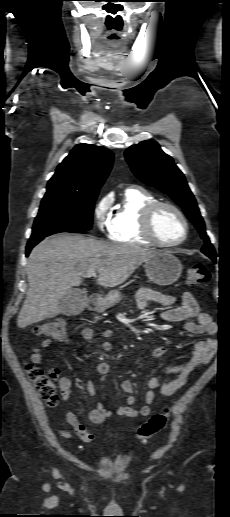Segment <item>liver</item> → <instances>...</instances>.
<instances>
[{
	"label": "liver",
	"instance_id": "6515ba94",
	"mask_svg": "<svg viewBox=\"0 0 230 517\" xmlns=\"http://www.w3.org/2000/svg\"><path fill=\"white\" fill-rule=\"evenodd\" d=\"M156 253L80 235L59 234L44 239L29 255V288L17 326L25 328L61 313L63 296L82 283L88 270L97 271L99 285L116 287Z\"/></svg>",
	"mask_w": 230,
	"mask_h": 517
}]
</instances>
